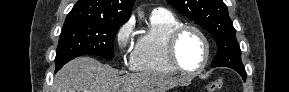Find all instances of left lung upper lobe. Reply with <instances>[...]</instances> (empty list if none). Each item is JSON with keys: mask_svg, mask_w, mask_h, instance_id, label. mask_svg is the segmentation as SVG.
Wrapping results in <instances>:
<instances>
[{"mask_svg": "<svg viewBox=\"0 0 289 92\" xmlns=\"http://www.w3.org/2000/svg\"><path fill=\"white\" fill-rule=\"evenodd\" d=\"M166 1L213 35L218 49L211 67L245 69L241 61V50L236 40V30L222 0Z\"/></svg>", "mask_w": 289, "mask_h": 92, "instance_id": "1", "label": "left lung upper lobe"}]
</instances>
